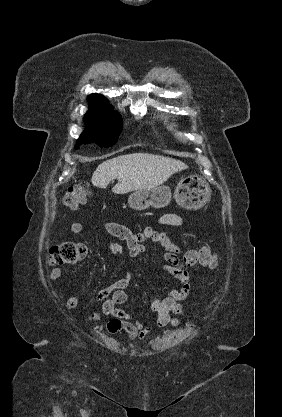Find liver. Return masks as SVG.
Returning a JSON list of instances; mask_svg holds the SVG:
<instances>
[{"instance_id": "obj_1", "label": "liver", "mask_w": 282, "mask_h": 417, "mask_svg": "<svg viewBox=\"0 0 282 417\" xmlns=\"http://www.w3.org/2000/svg\"><path fill=\"white\" fill-rule=\"evenodd\" d=\"M185 168H188L187 164L176 158L149 154V152H132V154L114 156L98 164L92 174L91 182L94 186L106 188L112 178H118L119 182L112 190L116 194H124L131 190L159 186L174 172Z\"/></svg>"}]
</instances>
